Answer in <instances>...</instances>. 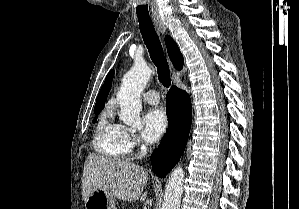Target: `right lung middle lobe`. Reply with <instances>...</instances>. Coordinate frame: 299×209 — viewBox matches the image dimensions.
Wrapping results in <instances>:
<instances>
[{
    "mask_svg": "<svg viewBox=\"0 0 299 209\" xmlns=\"http://www.w3.org/2000/svg\"><path fill=\"white\" fill-rule=\"evenodd\" d=\"M96 115H98L100 112H94ZM97 116L94 118V122L96 121Z\"/></svg>",
    "mask_w": 299,
    "mask_h": 209,
    "instance_id": "dd1d6c3e",
    "label": "right lung middle lobe"
}]
</instances>
